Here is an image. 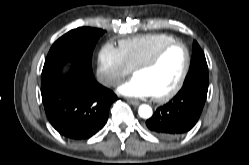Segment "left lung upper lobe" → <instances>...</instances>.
<instances>
[{
  "instance_id": "1",
  "label": "left lung upper lobe",
  "mask_w": 249,
  "mask_h": 165,
  "mask_svg": "<svg viewBox=\"0 0 249 165\" xmlns=\"http://www.w3.org/2000/svg\"><path fill=\"white\" fill-rule=\"evenodd\" d=\"M195 78L208 79V66L205 55L196 41H194L193 57L191 60L190 70L185 78V82Z\"/></svg>"
}]
</instances>
